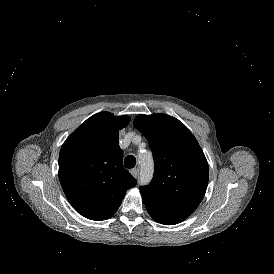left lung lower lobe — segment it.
Wrapping results in <instances>:
<instances>
[{
	"mask_svg": "<svg viewBox=\"0 0 274 274\" xmlns=\"http://www.w3.org/2000/svg\"><path fill=\"white\" fill-rule=\"evenodd\" d=\"M140 193L148 213L155 221L161 224L174 225L183 221L191 214V212L172 207L149 194Z\"/></svg>",
	"mask_w": 274,
	"mask_h": 274,
	"instance_id": "left-lung-lower-lobe-1",
	"label": "left lung lower lobe"
}]
</instances>
